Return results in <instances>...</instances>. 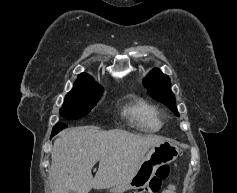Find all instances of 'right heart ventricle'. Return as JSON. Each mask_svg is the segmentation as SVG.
<instances>
[{
	"mask_svg": "<svg viewBox=\"0 0 237 193\" xmlns=\"http://www.w3.org/2000/svg\"><path fill=\"white\" fill-rule=\"evenodd\" d=\"M124 115L139 129L155 132L162 128L163 120L158 109L141 98H133L124 108Z\"/></svg>",
	"mask_w": 237,
	"mask_h": 193,
	"instance_id": "obj_1",
	"label": "right heart ventricle"
}]
</instances>
